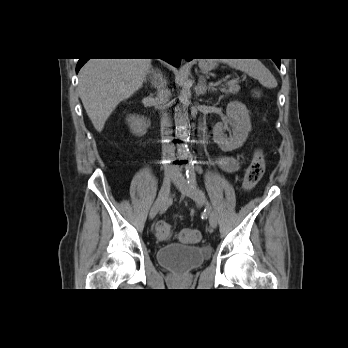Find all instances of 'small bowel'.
<instances>
[{"instance_id": "1", "label": "small bowel", "mask_w": 348, "mask_h": 348, "mask_svg": "<svg viewBox=\"0 0 348 348\" xmlns=\"http://www.w3.org/2000/svg\"><path fill=\"white\" fill-rule=\"evenodd\" d=\"M217 164L228 173H236L240 168V163L235 157L221 156L216 160Z\"/></svg>"}]
</instances>
